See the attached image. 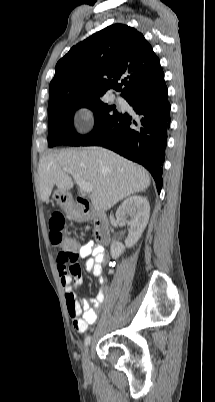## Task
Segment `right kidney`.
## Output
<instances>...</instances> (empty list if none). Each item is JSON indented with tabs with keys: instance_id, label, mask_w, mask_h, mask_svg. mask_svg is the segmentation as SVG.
I'll use <instances>...</instances> for the list:
<instances>
[{
	"instance_id": "right-kidney-1",
	"label": "right kidney",
	"mask_w": 215,
	"mask_h": 402,
	"mask_svg": "<svg viewBox=\"0 0 215 402\" xmlns=\"http://www.w3.org/2000/svg\"><path fill=\"white\" fill-rule=\"evenodd\" d=\"M130 221H127V217ZM150 216V205L148 200L142 196H131L124 200L116 211V218L120 221H126L130 225L129 234L125 240V245L119 241L111 244V256L117 259L125 248H131L142 236L147 226Z\"/></svg>"
}]
</instances>
